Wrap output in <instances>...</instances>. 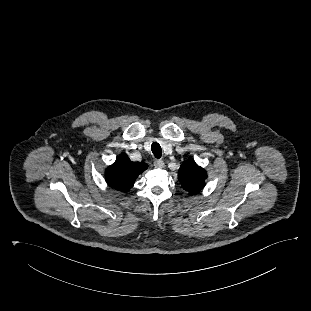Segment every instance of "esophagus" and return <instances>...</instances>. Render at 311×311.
I'll use <instances>...</instances> for the list:
<instances>
[{
    "label": "esophagus",
    "mask_w": 311,
    "mask_h": 311,
    "mask_svg": "<svg viewBox=\"0 0 311 311\" xmlns=\"http://www.w3.org/2000/svg\"><path fill=\"white\" fill-rule=\"evenodd\" d=\"M154 166H155L156 168L162 169V168L165 167V163H164L163 160H156V161L154 162Z\"/></svg>",
    "instance_id": "obj_1"
}]
</instances>
